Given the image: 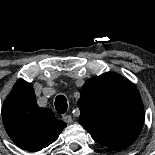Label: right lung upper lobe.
<instances>
[{
  "instance_id": "obj_1",
  "label": "right lung upper lobe",
  "mask_w": 155,
  "mask_h": 155,
  "mask_svg": "<svg viewBox=\"0 0 155 155\" xmlns=\"http://www.w3.org/2000/svg\"><path fill=\"white\" fill-rule=\"evenodd\" d=\"M2 119L9 137L18 146L39 151L54 142L66 127L52 110L37 105L33 86L18 80L2 107Z\"/></svg>"
}]
</instances>
